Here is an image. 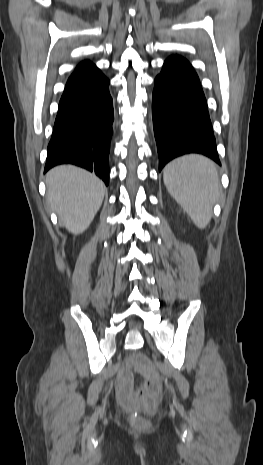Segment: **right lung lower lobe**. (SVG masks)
Returning a JSON list of instances; mask_svg holds the SVG:
<instances>
[{
	"mask_svg": "<svg viewBox=\"0 0 263 465\" xmlns=\"http://www.w3.org/2000/svg\"><path fill=\"white\" fill-rule=\"evenodd\" d=\"M108 85L96 66L70 76L59 102L45 172L59 164H75L94 171L108 185L114 120Z\"/></svg>",
	"mask_w": 263,
	"mask_h": 465,
	"instance_id": "98d812e1",
	"label": "right lung lower lobe"
}]
</instances>
